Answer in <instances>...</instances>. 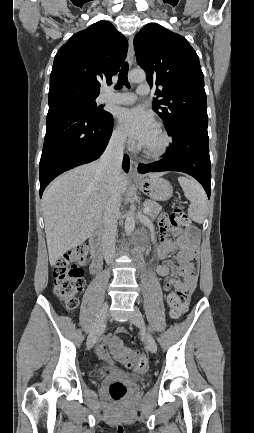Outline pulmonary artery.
Masks as SVG:
<instances>
[{"label": "pulmonary artery", "instance_id": "pulmonary-artery-1", "mask_svg": "<svg viewBox=\"0 0 254 433\" xmlns=\"http://www.w3.org/2000/svg\"><path fill=\"white\" fill-rule=\"evenodd\" d=\"M149 92H150L149 86L146 84H142L137 87L136 94L132 92L113 94L107 91L103 96V101L111 102L115 104L130 105L136 101L137 95L144 96L149 94Z\"/></svg>", "mask_w": 254, "mask_h": 433}]
</instances>
